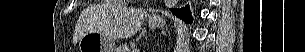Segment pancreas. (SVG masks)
Segmentation results:
<instances>
[{"label": "pancreas", "instance_id": "1", "mask_svg": "<svg viewBox=\"0 0 305 52\" xmlns=\"http://www.w3.org/2000/svg\"><path fill=\"white\" fill-rule=\"evenodd\" d=\"M118 52H130V49L127 45H122L118 48Z\"/></svg>", "mask_w": 305, "mask_h": 52}]
</instances>
